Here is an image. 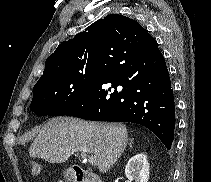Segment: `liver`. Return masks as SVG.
Segmentation results:
<instances>
[{"label":"liver","mask_w":211,"mask_h":182,"mask_svg":"<svg viewBox=\"0 0 211 182\" xmlns=\"http://www.w3.org/2000/svg\"><path fill=\"white\" fill-rule=\"evenodd\" d=\"M128 132L123 124L94 123L73 117L50 119L29 148V155L50 163H64L81 151L93 154L106 173L124 152Z\"/></svg>","instance_id":"6515ba94"}]
</instances>
